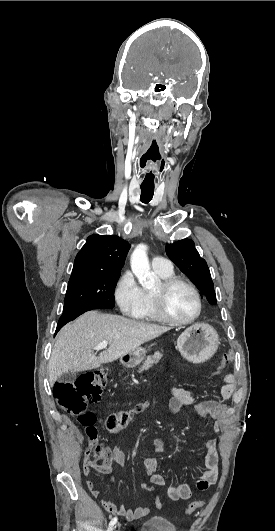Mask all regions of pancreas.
Wrapping results in <instances>:
<instances>
[{
  "mask_svg": "<svg viewBox=\"0 0 275 531\" xmlns=\"http://www.w3.org/2000/svg\"><path fill=\"white\" fill-rule=\"evenodd\" d=\"M161 357H163L162 353H160V351H155L154 355H149V357H146L145 361H143V365H141L137 373H142V371H148L150 367H153L154 363L156 365V363L160 361ZM127 367H134V365H127Z\"/></svg>",
  "mask_w": 275,
  "mask_h": 531,
  "instance_id": "1",
  "label": "pancreas"
}]
</instances>
